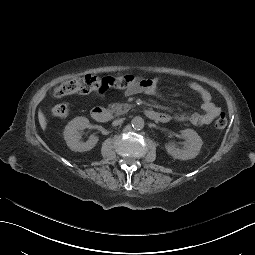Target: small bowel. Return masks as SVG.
I'll list each match as a JSON object with an SVG mask.
<instances>
[{
	"instance_id": "small-bowel-1",
	"label": "small bowel",
	"mask_w": 255,
	"mask_h": 255,
	"mask_svg": "<svg viewBox=\"0 0 255 255\" xmlns=\"http://www.w3.org/2000/svg\"><path fill=\"white\" fill-rule=\"evenodd\" d=\"M160 85V80L157 78H136L134 84L126 89L125 96H130L140 92H144L149 95H156L157 89ZM189 89L197 94L202 101L201 113H193L191 115H176L174 120L179 122H190L195 126H203L210 124L220 113L221 108L218 107L212 100V96L208 90L196 82H190L188 84ZM102 96V93L100 94Z\"/></svg>"
}]
</instances>
